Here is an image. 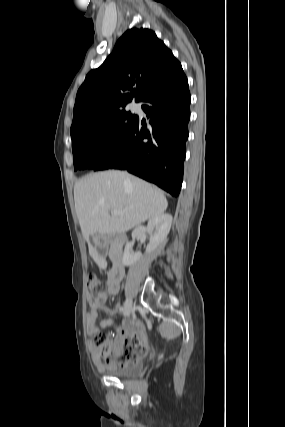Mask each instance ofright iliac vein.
<instances>
[{
    "instance_id": "1",
    "label": "right iliac vein",
    "mask_w": 285,
    "mask_h": 427,
    "mask_svg": "<svg viewBox=\"0 0 285 427\" xmlns=\"http://www.w3.org/2000/svg\"><path fill=\"white\" fill-rule=\"evenodd\" d=\"M132 310H133V302L130 298H127L124 305V315L130 316Z\"/></svg>"
}]
</instances>
